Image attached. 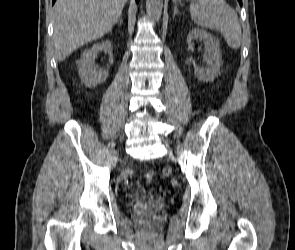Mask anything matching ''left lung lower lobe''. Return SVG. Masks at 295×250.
<instances>
[{"label": "left lung lower lobe", "instance_id": "left-lung-lower-lobe-1", "mask_svg": "<svg viewBox=\"0 0 295 250\" xmlns=\"http://www.w3.org/2000/svg\"><path fill=\"white\" fill-rule=\"evenodd\" d=\"M238 1H239L240 5H242V0H238Z\"/></svg>", "mask_w": 295, "mask_h": 250}]
</instances>
